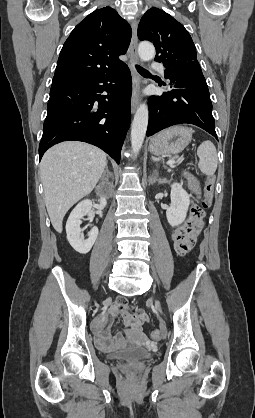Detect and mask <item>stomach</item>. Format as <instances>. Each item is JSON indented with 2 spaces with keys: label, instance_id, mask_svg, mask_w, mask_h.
I'll list each match as a JSON object with an SVG mask.
<instances>
[{
  "label": "stomach",
  "instance_id": "1",
  "mask_svg": "<svg viewBox=\"0 0 255 418\" xmlns=\"http://www.w3.org/2000/svg\"><path fill=\"white\" fill-rule=\"evenodd\" d=\"M193 130L177 125L155 135L149 142V151L156 156L175 155L191 142Z\"/></svg>",
  "mask_w": 255,
  "mask_h": 418
}]
</instances>
